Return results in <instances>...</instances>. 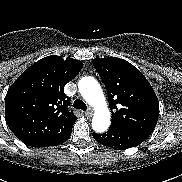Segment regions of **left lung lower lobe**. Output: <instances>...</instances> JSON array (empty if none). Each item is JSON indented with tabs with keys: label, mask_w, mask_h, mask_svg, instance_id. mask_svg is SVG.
Listing matches in <instances>:
<instances>
[{
	"label": "left lung lower lobe",
	"mask_w": 182,
	"mask_h": 182,
	"mask_svg": "<svg viewBox=\"0 0 182 182\" xmlns=\"http://www.w3.org/2000/svg\"><path fill=\"white\" fill-rule=\"evenodd\" d=\"M150 134L145 132L110 126L109 130L103 134L93 132L94 139L114 149H127L139 145L145 141Z\"/></svg>",
	"instance_id": "0a47b994"
}]
</instances>
